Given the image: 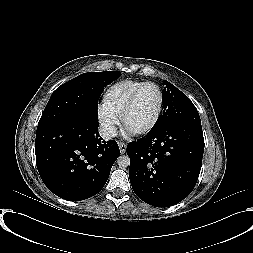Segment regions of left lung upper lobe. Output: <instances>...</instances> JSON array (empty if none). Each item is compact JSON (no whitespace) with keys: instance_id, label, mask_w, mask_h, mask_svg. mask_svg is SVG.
<instances>
[{"instance_id":"left-lung-upper-lobe-1","label":"left lung upper lobe","mask_w":253,"mask_h":253,"mask_svg":"<svg viewBox=\"0 0 253 253\" xmlns=\"http://www.w3.org/2000/svg\"><path fill=\"white\" fill-rule=\"evenodd\" d=\"M164 110L150 131H159L178 124H201L198 111L190 99L173 84L164 80Z\"/></svg>"}]
</instances>
